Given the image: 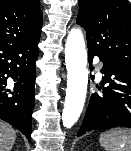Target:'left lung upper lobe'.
<instances>
[{
    "label": "left lung upper lobe",
    "mask_w": 131,
    "mask_h": 151,
    "mask_svg": "<svg viewBox=\"0 0 131 151\" xmlns=\"http://www.w3.org/2000/svg\"><path fill=\"white\" fill-rule=\"evenodd\" d=\"M77 23L88 49L131 69V5L127 0H79Z\"/></svg>",
    "instance_id": "1"
}]
</instances>
